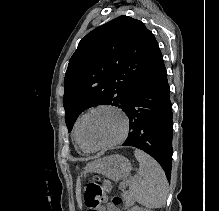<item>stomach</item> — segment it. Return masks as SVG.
<instances>
[{
	"instance_id": "1",
	"label": "stomach",
	"mask_w": 219,
	"mask_h": 211,
	"mask_svg": "<svg viewBox=\"0 0 219 211\" xmlns=\"http://www.w3.org/2000/svg\"><path fill=\"white\" fill-rule=\"evenodd\" d=\"M130 161L122 155H110L100 159H97L91 163H88L84 167L83 174L87 173H99L107 178L118 181L126 178L131 171Z\"/></svg>"
}]
</instances>
